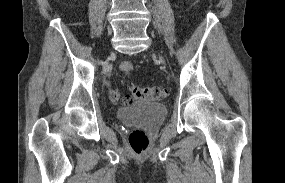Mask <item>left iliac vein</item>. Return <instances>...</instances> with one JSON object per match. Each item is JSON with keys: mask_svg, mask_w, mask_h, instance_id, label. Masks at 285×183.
I'll use <instances>...</instances> for the list:
<instances>
[{"mask_svg": "<svg viewBox=\"0 0 285 183\" xmlns=\"http://www.w3.org/2000/svg\"><path fill=\"white\" fill-rule=\"evenodd\" d=\"M161 61L164 63V60L161 58Z\"/></svg>", "mask_w": 285, "mask_h": 183, "instance_id": "1", "label": "left iliac vein"}]
</instances>
